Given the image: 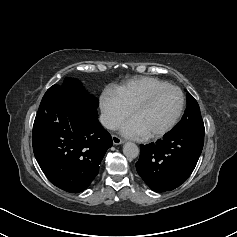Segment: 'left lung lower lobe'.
I'll use <instances>...</instances> for the list:
<instances>
[{"instance_id":"obj_1","label":"left lung lower lobe","mask_w":237,"mask_h":237,"mask_svg":"<svg viewBox=\"0 0 237 237\" xmlns=\"http://www.w3.org/2000/svg\"><path fill=\"white\" fill-rule=\"evenodd\" d=\"M203 144V130L169 132L155 143L140 146L137 172L153 191H171L191 175Z\"/></svg>"}]
</instances>
